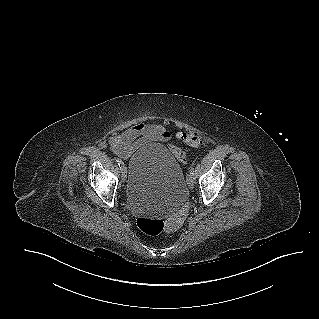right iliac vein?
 Returning a JSON list of instances; mask_svg holds the SVG:
<instances>
[{
  "label": "right iliac vein",
  "instance_id": "right-iliac-vein-1",
  "mask_svg": "<svg viewBox=\"0 0 319 319\" xmlns=\"http://www.w3.org/2000/svg\"><path fill=\"white\" fill-rule=\"evenodd\" d=\"M126 177H127V175H126V167L123 166V168L121 170V179H122L123 182L126 181Z\"/></svg>",
  "mask_w": 319,
  "mask_h": 319
}]
</instances>
